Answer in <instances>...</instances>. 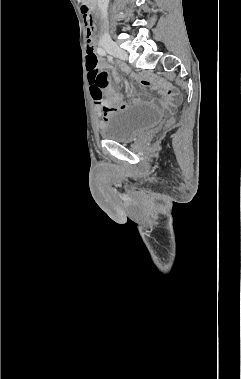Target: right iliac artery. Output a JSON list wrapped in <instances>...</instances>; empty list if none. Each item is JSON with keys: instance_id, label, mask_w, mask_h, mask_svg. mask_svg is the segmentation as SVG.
Returning <instances> with one entry per match:
<instances>
[{"instance_id": "right-iliac-artery-1", "label": "right iliac artery", "mask_w": 241, "mask_h": 379, "mask_svg": "<svg viewBox=\"0 0 241 379\" xmlns=\"http://www.w3.org/2000/svg\"><path fill=\"white\" fill-rule=\"evenodd\" d=\"M97 52H98L99 55H101V56H105V55H106L105 50H104L103 48H101V47H99V48L97 49Z\"/></svg>"}]
</instances>
